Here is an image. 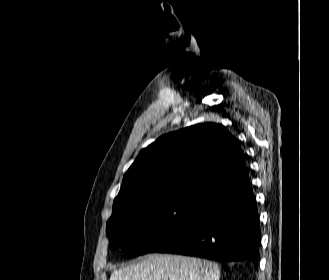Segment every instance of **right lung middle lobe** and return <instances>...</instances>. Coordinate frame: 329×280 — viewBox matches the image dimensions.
I'll list each match as a JSON object with an SVG mask.
<instances>
[{
	"instance_id": "dd1d6c3e",
	"label": "right lung middle lobe",
	"mask_w": 329,
	"mask_h": 280,
	"mask_svg": "<svg viewBox=\"0 0 329 280\" xmlns=\"http://www.w3.org/2000/svg\"><path fill=\"white\" fill-rule=\"evenodd\" d=\"M200 200L182 195L113 204L106 227L109 243L120 247L127 258L149 253L186 220Z\"/></svg>"
}]
</instances>
